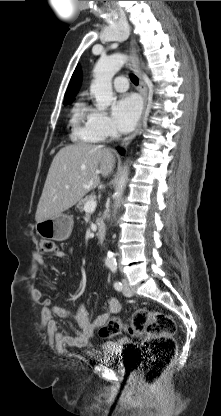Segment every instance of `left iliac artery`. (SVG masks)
<instances>
[{
    "instance_id": "44dca946",
    "label": "left iliac artery",
    "mask_w": 221,
    "mask_h": 416,
    "mask_svg": "<svg viewBox=\"0 0 221 416\" xmlns=\"http://www.w3.org/2000/svg\"><path fill=\"white\" fill-rule=\"evenodd\" d=\"M109 268L111 269V271L112 272H116L117 271V265L116 264H110L109 265ZM114 288L117 290V291H121L122 290V288H123V286H122V283L120 282V281H116L115 283H114Z\"/></svg>"
}]
</instances>
